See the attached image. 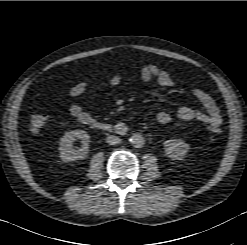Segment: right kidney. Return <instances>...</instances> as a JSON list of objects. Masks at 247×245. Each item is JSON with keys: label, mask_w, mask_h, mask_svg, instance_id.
<instances>
[{"label": "right kidney", "mask_w": 247, "mask_h": 245, "mask_svg": "<svg viewBox=\"0 0 247 245\" xmlns=\"http://www.w3.org/2000/svg\"><path fill=\"white\" fill-rule=\"evenodd\" d=\"M80 139L82 146L73 147V141ZM90 136L83 130H72L64 134L60 140L59 152L61 160L71 162L85 159L89 153Z\"/></svg>", "instance_id": "obj_1"}]
</instances>
